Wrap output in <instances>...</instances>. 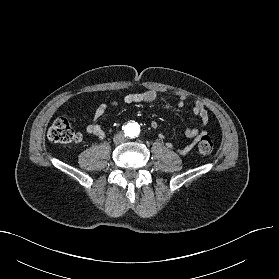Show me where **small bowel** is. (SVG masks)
Masks as SVG:
<instances>
[{
    "label": "small bowel",
    "instance_id": "1",
    "mask_svg": "<svg viewBox=\"0 0 279 279\" xmlns=\"http://www.w3.org/2000/svg\"><path fill=\"white\" fill-rule=\"evenodd\" d=\"M159 97L160 94L154 90L132 92L124 95L120 101L117 100L112 101L111 104L112 106L116 107L121 104L129 105V104H136V103H149L157 100ZM188 100L189 98L187 96H181L177 103V107L181 109ZM106 108H107L106 104L102 103L98 105L94 113V120L91 123H89L86 127L87 133L98 139L105 138V131L98 123V119L103 116V114L106 111ZM192 110L194 115L201 120L203 127H206L209 122V114L206 108L204 107V105L200 101H195ZM206 134L207 132L204 129L200 130L198 128H187L186 136L192 138L193 142L188 145L179 147L177 149V152L182 155L188 153L193 148V146L199 141L201 136ZM167 145L168 147H173L172 143H168Z\"/></svg>",
    "mask_w": 279,
    "mask_h": 279
}]
</instances>
